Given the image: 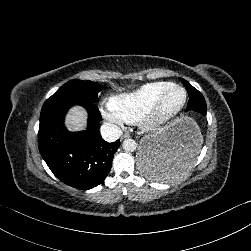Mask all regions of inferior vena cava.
<instances>
[{"label": "inferior vena cava", "mask_w": 251, "mask_h": 251, "mask_svg": "<svg viewBox=\"0 0 251 251\" xmlns=\"http://www.w3.org/2000/svg\"><path fill=\"white\" fill-rule=\"evenodd\" d=\"M102 138L107 142H115L118 140L123 132L113 123H104L100 128Z\"/></svg>", "instance_id": "1"}]
</instances>
